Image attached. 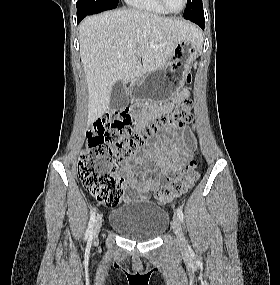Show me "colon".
Instances as JSON below:
<instances>
[{"label": "colon", "mask_w": 280, "mask_h": 285, "mask_svg": "<svg viewBox=\"0 0 280 285\" xmlns=\"http://www.w3.org/2000/svg\"><path fill=\"white\" fill-rule=\"evenodd\" d=\"M191 81L192 76L188 75L187 82ZM192 117L193 103L184 100L154 119L143 131L132 133L133 120L128 109L108 111L88 131L86 148L79 158L78 175L84 188L99 202L117 205L123 193V179L116 174L114 158L133 156L158 132L182 128ZM198 176V162L191 159L156 193L157 201L165 203L181 196L194 185Z\"/></svg>", "instance_id": "5ec220e1"}]
</instances>
